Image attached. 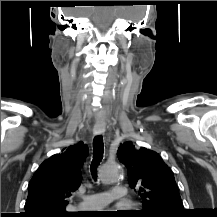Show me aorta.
Returning <instances> with one entry per match:
<instances>
[{
  "label": "aorta",
  "instance_id": "1",
  "mask_svg": "<svg viewBox=\"0 0 217 217\" xmlns=\"http://www.w3.org/2000/svg\"><path fill=\"white\" fill-rule=\"evenodd\" d=\"M120 167L117 164H105L100 170V179L103 183H112L119 179Z\"/></svg>",
  "mask_w": 217,
  "mask_h": 217
}]
</instances>
